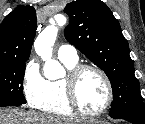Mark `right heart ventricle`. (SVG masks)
Returning a JSON list of instances; mask_svg holds the SVG:
<instances>
[{"instance_id":"e07e8e85","label":"right heart ventricle","mask_w":145,"mask_h":124,"mask_svg":"<svg viewBox=\"0 0 145 124\" xmlns=\"http://www.w3.org/2000/svg\"><path fill=\"white\" fill-rule=\"evenodd\" d=\"M67 69L77 65V61L60 59ZM45 113L55 117H70L74 115L66 93L65 78L45 80L42 98L36 106Z\"/></svg>"}]
</instances>
